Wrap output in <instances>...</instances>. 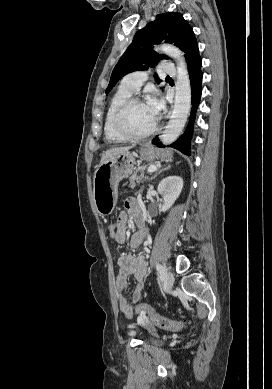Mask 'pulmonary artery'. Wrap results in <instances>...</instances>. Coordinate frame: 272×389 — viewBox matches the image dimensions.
<instances>
[{
  "label": "pulmonary artery",
  "mask_w": 272,
  "mask_h": 389,
  "mask_svg": "<svg viewBox=\"0 0 272 389\" xmlns=\"http://www.w3.org/2000/svg\"><path fill=\"white\" fill-rule=\"evenodd\" d=\"M162 71L163 73L168 75H175L176 73L173 63L170 62L169 60L163 61ZM147 76H148L147 72L145 71L133 72L123 79L121 86L135 93L140 89L141 85L146 81Z\"/></svg>",
  "instance_id": "e3ab8cb5"
}]
</instances>
